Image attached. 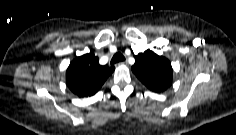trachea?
I'll use <instances>...</instances> for the list:
<instances>
[{"label":"trachea","mask_w":236,"mask_h":135,"mask_svg":"<svg viewBox=\"0 0 236 135\" xmlns=\"http://www.w3.org/2000/svg\"><path fill=\"white\" fill-rule=\"evenodd\" d=\"M124 60H125V57L120 52H118L112 57L111 64L122 62Z\"/></svg>","instance_id":"trachea-1"}]
</instances>
